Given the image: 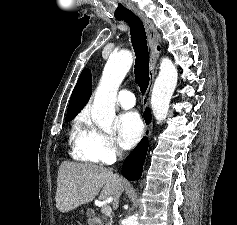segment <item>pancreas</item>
<instances>
[{
    "label": "pancreas",
    "instance_id": "cf45deb5",
    "mask_svg": "<svg viewBox=\"0 0 237 225\" xmlns=\"http://www.w3.org/2000/svg\"><path fill=\"white\" fill-rule=\"evenodd\" d=\"M103 220L106 222V225H112V222L108 220L106 217H103Z\"/></svg>",
    "mask_w": 237,
    "mask_h": 225
}]
</instances>
